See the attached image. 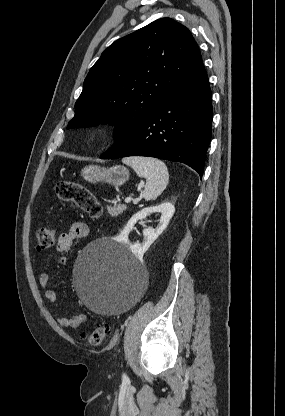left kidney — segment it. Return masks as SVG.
<instances>
[{"instance_id":"obj_1","label":"left kidney","mask_w":285,"mask_h":416,"mask_svg":"<svg viewBox=\"0 0 285 416\" xmlns=\"http://www.w3.org/2000/svg\"><path fill=\"white\" fill-rule=\"evenodd\" d=\"M155 212H160L161 214L159 226H157V228L143 230L144 242H142V244H130L128 236L130 232H132L137 220H146L149 214H155ZM174 212L175 208L173 204H170V202H164V204H160V206H153V208H143V210H140V212H137V214H134V216L130 218L127 226H125L119 236L120 242L127 244L132 254H135L138 258H142L143 254L147 252L151 244H153V242L157 240L158 236H160V234L164 232L165 228H167Z\"/></svg>"}]
</instances>
